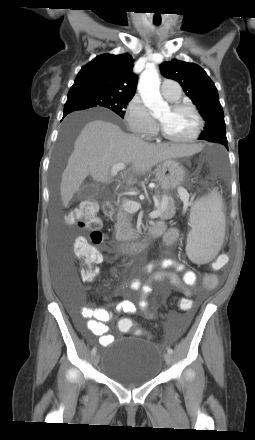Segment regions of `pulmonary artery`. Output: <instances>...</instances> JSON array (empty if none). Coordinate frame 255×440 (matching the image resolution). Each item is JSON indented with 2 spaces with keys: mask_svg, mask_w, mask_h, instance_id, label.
I'll return each instance as SVG.
<instances>
[{
  "mask_svg": "<svg viewBox=\"0 0 255 440\" xmlns=\"http://www.w3.org/2000/svg\"><path fill=\"white\" fill-rule=\"evenodd\" d=\"M161 92L162 95L169 101L177 100L181 95L180 87L176 84L175 81L169 79L163 80L161 85Z\"/></svg>",
  "mask_w": 255,
  "mask_h": 440,
  "instance_id": "obj_1",
  "label": "pulmonary artery"
}]
</instances>
